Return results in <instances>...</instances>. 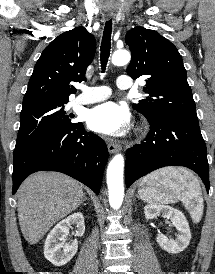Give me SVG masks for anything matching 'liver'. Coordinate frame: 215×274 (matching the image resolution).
<instances>
[{
    "label": "liver",
    "instance_id": "1",
    "mask_svg": "<svg viewBox=\"0 0 215 274\" xmlns=\"http://www.w3.org/2000/svg\"><path fill=\"white\" fill-rule=\"evenodd\" d=\"M18 219L29 244H36L60 219L82 203L79 183L57 172H38L29 176L18 190Z\"/></svg>",
    "mask_w": 215,
    "mask_h": 274
}]
</instances>
